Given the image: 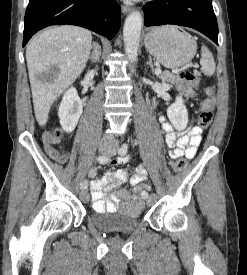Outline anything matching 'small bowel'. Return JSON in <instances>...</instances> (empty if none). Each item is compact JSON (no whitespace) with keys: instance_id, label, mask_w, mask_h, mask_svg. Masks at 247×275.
<instances>
[{"instance_id":"1","label":"small bowel","mask_w":247,"mask_h":275,"mask_svg":"<svg viewBox=\"0 0 247 275\" xmlns=\"http://www.w3.org/2000/svg\"><path fill=\"white\" fill-rule=\"evenodd\" d=\"M161 128L165 133V142L170 149L169 156L172 159L186 157L191 159L197 152V148L202 140V128L198 126L190 127L183 132H177L173 125L164 117H160ZM46 153L58 163H66L68 157L61 155L52 145L46 144ZM128 157L119 158L118 163H125ZM97 168H91L88 176L92 179L90 188L93 199V209L96 212H116L121 211L126 214H137L143 207L140 198L131 195L121 185L127 182V174L123 170L108 171L101 178H96ZM146 169L139 165L130 178L133 187L142 185L146 180ZM111 192L110 198L105 200V193Z\"/></svg>"}]
</instances>
